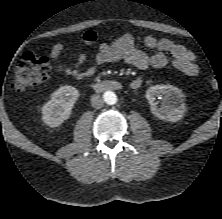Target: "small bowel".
<instances>
[{
    "mask_svg": "<svg viewBox=\"0 0 222 219\" xmlns=\"http://www.w3.org/2000/svg\"><path fill=\"white\" fill-rule=\"evenodd\" d=\"M98 36L94 31H86L83 34V41L92 45L96 43ZM144 45L153 51L147 54L136 48L135 38L131 34H123L112 39L108 43H102L93 59L92 64L86 69L81 66L86 61L84 54L76 57L74 66H65L60 63L59 58L63 53L64 46L61 43H55L50 51V59L55 68L68 76L77 80H82L92 76L98 67L122 61L137 69H158L171 64L175 69L187 76H196L199 73V66L196 63V57L193 52L183 45L175 43L166 38H156L148 35L144 37ZM141 82L136 78L134 82Z\"/></svg>",
    "mask_w": 222,
    "mask_h": 219,
    "instance_id": "c3829d8e",
    "label": "small bowel"
}]
</instances>
